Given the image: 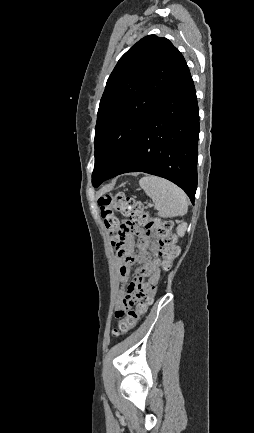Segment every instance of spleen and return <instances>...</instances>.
I'll return each mask as SVG.
<instances>
[{
	"label": "spleen",
	"instance_id": "obj_1",
	"mask_svg": "<svg viewBox=\"0 0 254 433\" xmlns=\"http://www.w3.org/2000/svg\"><path fill=\"white\" fill-rule=\"evenodd\" d=\"M139 185L155 203L158 216L171 218L187 212L188 201L185 193L170 181L156 176H145L140 179Z\"/></svg>",
	"mask_w": 254,
	"mask_h": 433
}]
</instances>
